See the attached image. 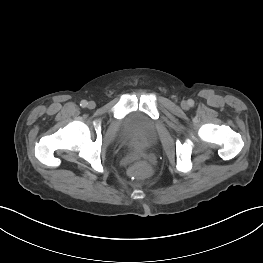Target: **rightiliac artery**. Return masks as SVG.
Wrapping results in <instances>:
<instances>
[{"label":"right iliac artery","instance_id":"obj_1","mask_svg":"<svg viewBox=\"0 0 263 263\" xmlns=\"http://www.w3.org/2000/svg\"><path fill=\"white\" fill-rule=\"evenodd\" d=\"M87 104H88V103H87L86 100H82V101L80 102V106L83 107V108L86 107Z\"/></svg>","mask_w":263,"mask_h":263}]
</instances>
